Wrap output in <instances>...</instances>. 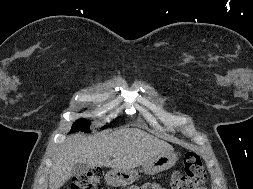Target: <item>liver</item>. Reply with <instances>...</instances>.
<instances>
[{
  "mask_svg": "<svg viewBox=\"0 0 253 189\" xmlns=\"http://www.w3.org/2000/svg\"><path fill=\"white\" fill-rule=\"evenodd\" d=\"M173 147L138 128H123L108 135L87 138L80 134L68 137L53 157L49 189H59L72 176L76 163L90 167L104 166L131 170ZM111 157L113 160H111Z\"/></svg>",
  "mask_w": 253,
  "mask_h": 189,
  "instance_id": "1",
  "label": "liver"
}]
</instances>
